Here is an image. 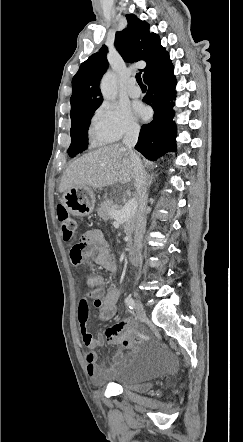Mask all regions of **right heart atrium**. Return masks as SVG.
I'll return each mask as SVG.
<instances>
[{"label": "right heart atrium", "instance_id": "d8ad5b80", "mask_svg": "<svg viewBox=\"0 0 243 442\" xmlns=\"http://www.w3.org/2000/svg\"><path fill=\"white\" fill-rule=\"evenodd\" d=\"M92 127L111 143L139 132L138 122L130 109L110 102H103L97 108Z\"/></svg>", "mask_w": 243, "mask_h": 442}]
</instances>
